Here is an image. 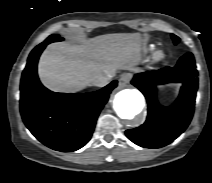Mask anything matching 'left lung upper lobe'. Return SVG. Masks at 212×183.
Listing matches in <instances>:
<instances>
[{
  "mask_svg": "<svg viewBox=\"0 0 212 183\" xmlns=\"http://www.w3.org/2000/svg\"><path fill=\"white\" fill-rule=\"evenodd\" d=\"M171 36H172V39H173L174 43L177 44L180 39L174 34H172Z\"/></svg>",
  "mask_w": 212,
  "mask_h": 183,
  "instance_id": "1",
  "label": "left lung upper lobe"
}]
</instances>
